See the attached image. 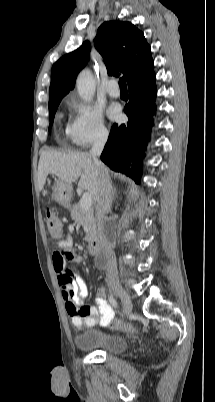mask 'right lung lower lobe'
I'll return each instance as SVG.
<instances>
[{
	"instance_id": "obj_1",
	"label": "right lung lower lobe",
	"mask_w": 215,
	"mask_h": 402,
	"mask_svg": "<svg viewBox=\"0 0 215 402\" xmlns=\"http://www.w3.org/2000/svg\"><path fill=\"white\" fill-rule=\"evenodd\" d=\"M129 94V102L124 108L129 121L121 125L113 124L101 160L112 170L122 172L139 183L143 152L154 125L155 74L130 85Z\"/></svg>"
}]
</instances>
